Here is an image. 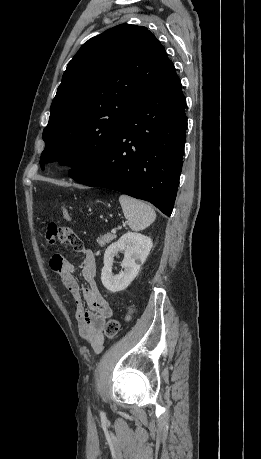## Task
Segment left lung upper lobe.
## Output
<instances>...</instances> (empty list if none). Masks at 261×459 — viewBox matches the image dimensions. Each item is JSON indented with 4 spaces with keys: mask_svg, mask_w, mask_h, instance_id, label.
<instances>
[{
    "mask_svg": "<svg viewBox=\"0 0 261 459\" xmlns=\"http://www.w3.org/2000/svg\"><path fill=\"white\" fill-rule=\"evenodd\" d=\"M174 67L146 28L121 24L88 40L68 63L43 131L40 165L94 170L140 103Z\"/></svg>",
    "mask_w": 261,
    "mask_h": 459,
    "instance_id": "1",
    "label": "left lung upper lobe"
}]
</instances>
